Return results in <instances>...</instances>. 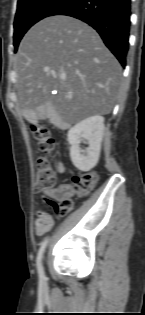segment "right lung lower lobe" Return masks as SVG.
Wrapping results in <instances>:
<instances>
[{
	"mask_svg": "<svg viewBox=\"0 0 145 315\" xmlns=\"http://www.w3.org/2000/svg\"><path fill=\"white\" fill-rule=\"evenodd\" d=\"M67 15L92 26L125 67L129 48L131 0H67L50 16Z\"/></svg>",
	"mask_w": 145,
	"mask_h": 315,
	"instance_id": "obj_1",
	"label": "right lung lower lobe"
}]
</instances>
